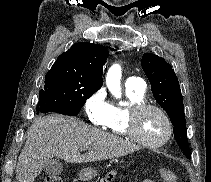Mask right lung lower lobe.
Segmentation results:
<instances>
[{
  "label": "right lung lower lobe",
  "instance_id": "obj_1",
  "mask_svg": "<svg viewBox=\"0 0 211 182\" xmlns=\"http://www.w3.org/2000/svg\"><path fill=\"white\" fill-rule=\"evenodd\" d=\"M48 112H56L64 115H69L64 110H62L53 100H39L37 106V114Z\"/></svg>",
  "mask_w": 211,
  "mask_h": 182
}]
</instances>
